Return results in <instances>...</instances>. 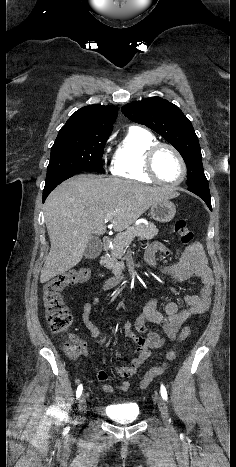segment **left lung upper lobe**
<instances>
[{"mask_svg": "<svg viewBox=\"0 0 236 467\" xmlns=\"http://www.w3.org/2000/svg\"><path fill=\"white\" fill-rule=\"evenodd\" d=\"M122 113L143 124L166 139L183 157L188 170V187L208 185L200 145L191 122L174 104L160 97H151L126 104Z\"/></svg>", "mask_w": 236, "mask_h": 467, "instance_id": "1", "label": "left lung upper lobe"}]
</instances>
